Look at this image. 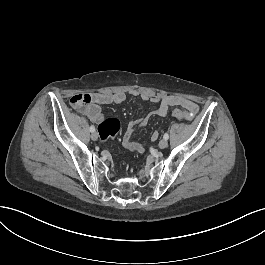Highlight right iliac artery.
I'll list each match as a JSON object with an SVG mask.
<instances>
[{"label": "right iliac artery", "instance_id": "82829eb1", "mask_svg": "<svg viewBox=\"0 0 265 265\" xmlns=\"http://www.w3.org/2000/svg\"><path fill=\"white\" fill-rule=\"evenodd\" d=\"M90 131H91V132H94V131H95V127H94V126H91V127H90Z\"/></svg>", "mask_w": 265, "mask_h": 265}]
</instances>
